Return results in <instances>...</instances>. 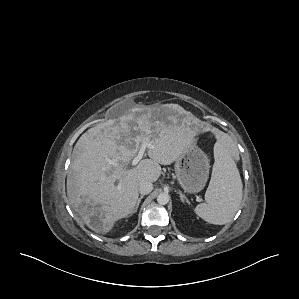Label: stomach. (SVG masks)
I'll return each instance as SVG.
<instances>
[{
	"instance_id": "0dacf381",
	"label": "stomach",
	"mask_w": 299,
	"mask_h": 299,
	"mask_svg": "<svg viewBox=\"0 0 299 299\" xmlns=\"http://www.w3.org/2000/svg\"><path fill=\"white\" fill-rule=\"evenodd\" d=\"M209 160L207 155L190 143L175 163L177 179L188 193H198L204 187L209 176Z\"/></svg>"
}]
</instances>
